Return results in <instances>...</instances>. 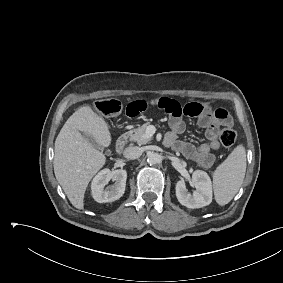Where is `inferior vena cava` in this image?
I'll return each instance as SVG.
<instances>
[{
	"mask_svg": "<svg viewBox=\"0 0 283 283\" xmlns=\"http://www.w3.org/2000/svg\"><path fill=\"white\" fill-rule=\"evenodd\" d=\"M141 154H142L141 148L136 146L127 147L123 152L124 157L129 160L137 159L141 156Z\"/></svg>",
	"mask_w": 283,
	"mask_h": 283,
	"instance_id": "602c4592",
	"label": "inferior vena cava"
}]
</instances>
